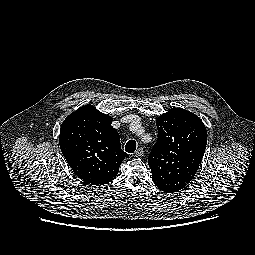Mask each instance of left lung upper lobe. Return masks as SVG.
<instances>
[{
    "mask_svg": "<svg viewBox=\"0 0 255 255\" xmlns=\"http://www.w3.org/2000/svg\"><path fill=\"white\" fill-rule=\"evenodd\" d=\"M158 139L148 157L155 185L166 193L185 188L202 161L207 131L187 110L172 108L156 120Z\"/></svg>",
    "mask_w": 255,
    "mask_h": 255,
    "instance_id": "obj_1",
    "label": "left lung upper lobe"
}]
</instances>
